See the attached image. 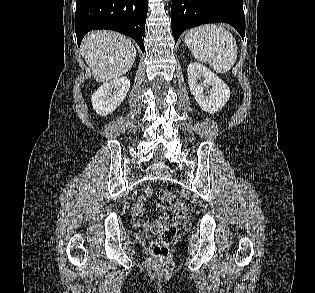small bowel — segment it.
<instances>
[{
    "instance_id": "c3829d8e",
    "label": "small bowel",
    "mask_w": 315,
    "mask_h": 293,
    "mask_svg": "<svg viewBox=\"0 0 315 293\" xmlns=\"http://www.w3.org/2000/svg\"><path fill=\"white\" fill-rule=\"evenodd\" d=\"M152 191H153L152 187L150 185H146L143 189L142 194L136 199L132 208V216L134 220L136 221L137 226L141 228L142 230H147L149 228V224L143 221L140 218V215L145 210L144 203L150 197V195L152 194ZM160 207L162 209H165L167 214H161L159 218L153 222L152 227L155 231L161 230L162 226L169 221L168 215H176L177 213L176 208H171L167 205H161Z\"/></svg>"
}]
</instances>
